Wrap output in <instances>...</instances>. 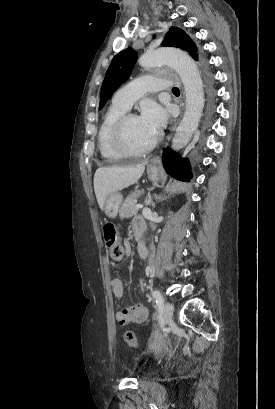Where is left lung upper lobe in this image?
<instances>
[{
	"instance_id": "left-lung-upper-lobe-1",
	"label": "left lung upper lobe",
	"mask_w": 275,
	"mask_h": 409,
	"mask_svg": "<svg viewBox=\"0 0 275 409\" xmlns=\"http://www.w3.org/2000/svg\"><path fill=\"white\" fill-rule=\"evenodd\" d=\"M161 45L180 48L187 51L194 59H198L193 41L180 28L171 27ZM136 60L137 53L131 47L119 52L112 59L101 87L99 109L105 105L116 89L129 78Z\"/></svg>"
}]
</instances>
